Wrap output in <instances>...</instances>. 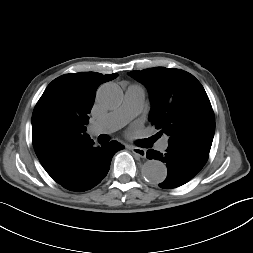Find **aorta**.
I'll return each instance as SVG.
<instances>
[{
	"label": "aorta",
	"mask_w": 253,
	"mask_h": 253,
	"mask_svg": "<svg viewBox=\"0 0 253 253\" xmlns=\"http://www.w3.org/2000/svg\"><path fill=\"white\" fill-rule=\"evenodd\" d=\"M122 99V90L114 83H106L97 91L98 103L103 108H116L122 103ZM142 174L149 182L159 184L166 179L167 168L159 160H148L142 166Z\"/></svg>",
	"instance_id": "obj_1"
}]
</instances>
